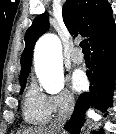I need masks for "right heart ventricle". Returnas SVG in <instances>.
<instances>
[{"label": "right heart ventricle", "mask_w": 116, "mask_h": 134, "mask_svg": "<svg viewBox=\"0 0 116 134\" xmlns=\"http://www.w3.org/2000/svg\"><path fill=\"white\" fill-rule=\"evenodd\" d=\"M50 116L47 97L32 83L24 95V120L30 124H44L50 119Z\"/></svg>", "instance_id": "obj_1"}]
</instances>
